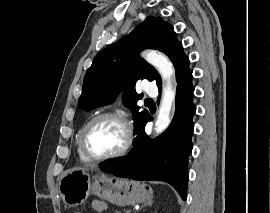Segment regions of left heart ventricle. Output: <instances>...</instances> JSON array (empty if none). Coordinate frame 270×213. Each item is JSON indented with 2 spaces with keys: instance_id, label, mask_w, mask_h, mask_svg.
<instances>
[{
  "instance_id": "left-heart-ventricle-1",
  "label": "left heart ventricle",
  "mask_w": 270,
  "mask_h": 213,
  "mask_svg": "<svg viewBox=\"0 0 270 213\" xmlns=\"http://www.w3.org/2000/svg\"><path fill=\"white\" fill-rule=\"evenodd\" d=\"M124 125L110 118L95 122L88 130L86 146L94 156H105L118 151L125 143Z\"/></svg>"
}]
</instances>
